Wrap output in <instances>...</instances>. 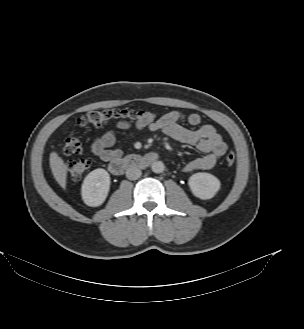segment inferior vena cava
I'll list each match as a JSON object with an SVG mask.
<instances>
[{
    "instance_id": "1",
    "label": "inferior vena cava",
    "mask_w": 304,
    "mask_h": 329,
    "mask_svg": "<svg viewBox=\"0 0 304 329\" xmlns=\"http://www.w3.org/2000/svg\"><path fill=\"white\" fill-rule=\"evenodd\" d=\"M141 176V170L136 166H130L126 170V177L129 180H136Z\"/></svg>"
}]
</instances>
